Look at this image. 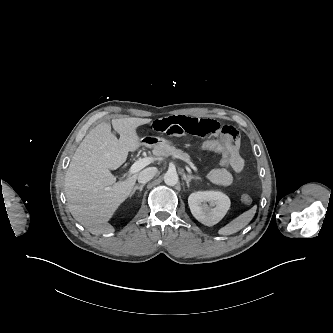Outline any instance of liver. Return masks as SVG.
<instances>
[{
	"label": "liver",
	"mask_w": 333,
	"mask_h": 333,
	"mask_svg": "<svg viewBox=\"0 0 333 333\" xmlns=\"http://www.w3.org/2000/svg\"><path fill=\"white\" fill-rule=\"evenodd\" d=\"M150 121L134 117L112 119L119 140L112 134L111 125L103 122L90 130L76 149L65 175L64 190L72 216L90 233L114 232L108 221L131 194L137 175L116 182L110 170L120 167L129 151L142 146L136 129Z\"/></svg>",
	"instance_id": "liver-1"
}]
</instances>
